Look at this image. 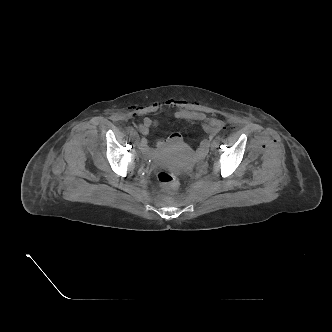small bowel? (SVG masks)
Instances as JSON below:
<instances>
[{
  "label": "small bowel",
  "mask_w": 332,
  "mask_h": 332,
  "mask_svg": "<svg viewBox=\"0 0 332 332\" xmlns=\"http://www.w3.org/2000/svg\"><path fill=\"white\" fill-rule=\"evenodd\" d=\"M163 107L174 108L173 117L177 120H182L188 123H199L201 124L203 130L207 134L208 138L204 139L199 146V153L204 154L210 145L211 140L216 136V134L224 127L225 121L222 119L208 117L204 112L194 111L188 108L187 103L178 100L170 99L162 103L150 104L146 109L149 112H155ZM159 124V122L150 117H145L142 123L139 125V130L145 137L141 140L140 145L143 150L148 151V140L146 136L149 134L150 129ZM181 135L175 133L172 134L167 140L160 141L159 146H164L168 143L181 142Z\"/></svg>",
  "instance_id": "obj_1"
}]
</instances>
